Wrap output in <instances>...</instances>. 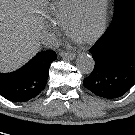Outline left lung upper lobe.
<instances>
[{"instance_id": "left-lung-upper-lobe-1", "label": "left lung upper lobe", "mask_w": 135, "mask_h": 135, "mask_svg": "<svg viewBox=\"0 0 135 135\" xmlns=\"http://www.w3.org/2000/svg\"><path fill=\"white\" fill-rule=\"evenodd\" d=\"M114 2V20H122L129 12L135 11V0H114Z\"/></svg>"}]
</instances>
